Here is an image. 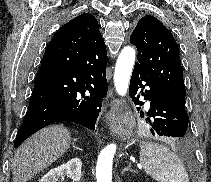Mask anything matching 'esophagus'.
<instances>
[{"mask_svg":"<svg viewBox=\"0 0 211 182\" xmlns=\"http://www.w3.org/2000/svg\"><path fill=\"white\" fill-rule=\"evenodd\" d=\"M108 95L109 97H112V91H110ZM112 104L116 107H119L122 104V102L120 100H113Z\"/></svg>","mask_w":211,"mask_h":182,"instance_id":"34e87169","label":"esophagus"}]
</instances>
